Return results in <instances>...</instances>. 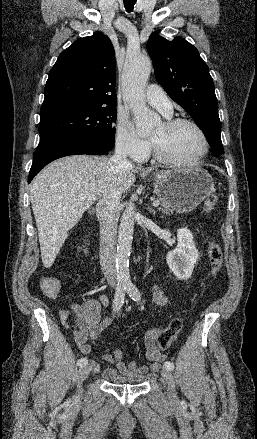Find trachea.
<instances>
[{"label":"trachea","instance_id":"1","mask_svg":"<svg viewBox=\"0 0 257 439\" xmlns=\"http://www.w3.org/2000/svg\"><path fill=\"white\" fill-rule=\"evenodd\" d=\"M136 3V0H124V6L127 12H132L134 5Z\"/></svg>","mask_w":257,"mask_h":439}]
</instances>
